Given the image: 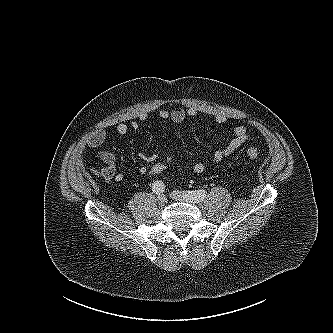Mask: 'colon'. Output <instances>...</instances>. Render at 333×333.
Instances as JSON below:
<instances>
[{
  "label": "colon",
  "mask_w": 333,
  "mask_h": 333,
  "mask_svg": "<svg viewBox=\"0 0 333 333\" xmlns=\"http://www.w3.org/2000/svg\"><path fill=\"white\" fill-rule=\"evenodd\" d=\"M246 153H247L248 157L252 160H257L259 158V152L253 146H249L246 149ZM171 163H172V160L169 157H166V158L160 159V160H156L148 167L147 173L152 176L160 175L169 168Z\"/></svg>",
  "instance_id": "colon-1"
}]
</instances>
